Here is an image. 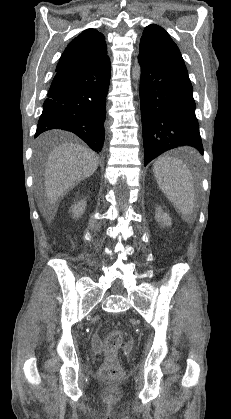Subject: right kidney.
I'll return each instance as SVG.
<instances>
[{
    "label": "right kidney",
    "mask_w": 231,
    "mask_h": 419,
    "mask_svg": "<svg viewBox=\"0 0 231 419\" xmlns=\"http://www.w3.org/2000/svg\"><path fill=\"white\" fill-rule=\"evenodd\" d=\"M85 207H86V201H84V200H81V201L75 203L72 206V209H71V212H72L74 218L80 217L84 213Z\"/></svg>",
    "instance_id": "obj_1"
}]
</instances>
